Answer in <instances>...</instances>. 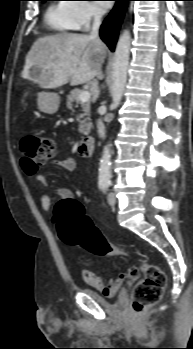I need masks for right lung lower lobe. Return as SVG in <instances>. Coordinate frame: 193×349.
Wrapping results in <instances>:
<instances>
[{
  "mask_svg": "<svg viewBox=\"0 0 193 349\" xmlns=\"http://www.w3.org/2000/svg\"><path fill=\"white\" fill-rule=\"evenodd\" d=\"M130 0H116V5L100 28L101 39L114 51L118 31L125 13L126 3Z\"/></svg>",
  "mask_w": 193,
  "mask_h": 349,
  "instance_id": "obj_1",
  "label": "right lung lower lobe"
}]
</instances>
